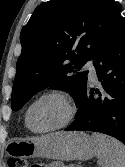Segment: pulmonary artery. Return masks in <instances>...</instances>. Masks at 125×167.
<instances>
[{
	"mask_svg": "<svg viewBox=\"0 0 125 167\" xmlns=\"http://www.w3.org/2000/svg\"><path fill=\"white\" fill-rule=\"evenodd\" d=\"M85 68L90 71L91 79L95 80L96 79V72H95V68H94L92 62L91 61L87 62V64L85 65Z\"/></svg>",
	"mask_w": 125,
	"mask_h": 167,
	"instance_id": "obj_1",
	"label": "pulmonary artery"
}]
</instances>
